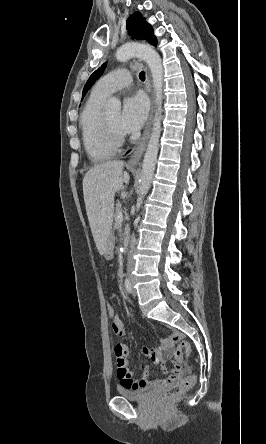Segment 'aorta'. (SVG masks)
<instances>
[{
  "label": "aorta",
  "mask_w": 266,
  "mask_h": 444,
  "mask_svg": "<svg viewBox=\"0 0 266 444\" xmlns=\"http://www.w3.org/2000/svg\"><path fill=\"white\" fill-rule=\"evenodd\" d=\"M133 57L140 58L148 64L152 75L156 103L152 133L144 155L140 175L139 193L141 198H143L150 189L158 156L159 138L161 134V113L163 100L162 90L164 72L159 54L148 45L139 43H128L121 46L116 51V59L119 61H126ZM105 109L113 113H119L121 110L120 100L116 97L110 98L106 103Z\"/></svg>",
  "instance_id": "aorta-1"
}]
</instances>
